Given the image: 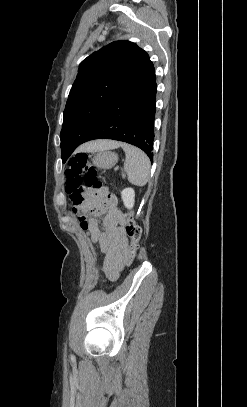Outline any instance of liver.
Here are the masks:
<instances>
[{
  "mask_svg": "<svg viewBox=\"0 0 247 407\" xmlns=\"http://www.w3.org/2000/svg\"><path fill=\"white\" fill-rule=\"evenodd\" d=\"M121 145L118 141L112 140H99L86 143L80 147V151L85 152H95V151H104L108 149H114Z\"/></svg>",
  "mask_w": 247,
  "mask_h": 407,
  "instance_id": "6515ba94",
  "label": "liver"
}]
</instances>
